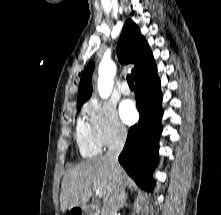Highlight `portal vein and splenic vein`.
Here are the masks:
<instances>
[{
	"instance_id": "portal-vein-and-splenic-vein-1",
	"label": "portal vein and splenic vein",
	"mask_w": 221,
	"mask_h": 215,
	"mask_svg": "<svg viewBox=\"0 0 221 215\" xmlns=\"http://www.w3.org/2000/svg\"><path fill=\"white\" fill-rule=\"evenodd\" d=\"M96 190H97L98 193H100V191H101L100 189H96Z\"/></svg>"
}]
</instances>
